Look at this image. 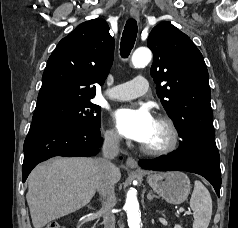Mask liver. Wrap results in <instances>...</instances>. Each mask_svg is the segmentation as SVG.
<instances>
[{
	"label": "liver",
	"instance_id": "1",
	"mask_svg": "<svg viewBox=\"0 0 238 228\" xmlns=\"http://www.w3.org/2000/svg\"><path fill=\"white\" fill-rule=\"evenodd\" d=\"M99 161L93 158H54L36 166L28 177L27 203L34 228L86 206L95 195ZM121 178L113 171L114 183Z\"/></svg>",
	"mask_w": 238,
	"mask_h": 228
}]
</instances>
